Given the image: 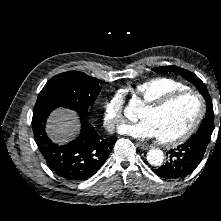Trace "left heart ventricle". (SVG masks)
<instances>
[{
    "mask_svg": "<svg viewBox=\"0 0 221 221\" xmlns=\"http://www.w3.org/2000/svg\"><path fill=\"white\" fill-rule=\"evenodd\" d=\"M199 110V104L193 95H184L168 104L159 111L143 108L139 118L148 120L162 140L172 139L182 134L194 121Z\"/></svg>",
    "mask_w": 221,
    "mask_h": 221,
    "instance_id": "obj_1",
    "label": "left heart ventricle"
}]
</instances>
